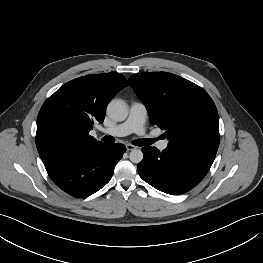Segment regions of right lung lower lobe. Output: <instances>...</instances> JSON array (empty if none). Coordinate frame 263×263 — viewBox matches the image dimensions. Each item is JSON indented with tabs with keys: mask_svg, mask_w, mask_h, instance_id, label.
<instances>
[{
	"mask_svg": "<svg viewBox=\"0 0 263 263\" xmlns=\"http://www.w3.org/2000/svg\"><path fill=\"white\" fill-rule=\"evenodd\" d=\"M126 151L123 144L101 143L83 148L48 172L53 182L71 196H89L111 179L115 165Z\"/></svg>",
	"mask_w": 263,
	"mask_h": 263,
	"instance_id": "obj_1",
	"label": "right lung lower lobe"
}]
</instances>
